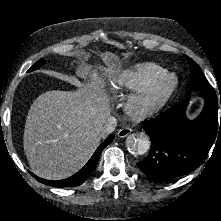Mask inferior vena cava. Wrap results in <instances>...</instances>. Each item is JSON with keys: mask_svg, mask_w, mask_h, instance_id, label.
<instances>
[{"mask_svg": "<svg viewBox=\"0 0 221 221\" xmlns=\"http://www.w3.org/2000/svg\"><path fill=\"white\" fill-rule=\"evenodd\" d=\"M117 126V121L114 117L109 116L106 121L105 124L102 128V134H110L115 130V127Z\"/></svg>", "mask_w": 221, "mask_h": 221, "instance_id": "inferior-vena-cava-1", "label": "inferior vena cava"}]
</instances>
